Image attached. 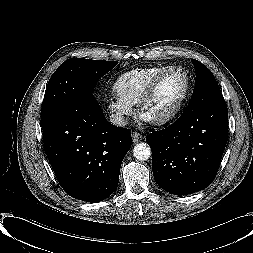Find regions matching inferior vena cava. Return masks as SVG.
Segmentation results:
<instances>
[{"mask_svg": "<svg viewBox=\"0 0 253 253\" xmlns=\"http://www.w3.org/2000/svg\"><path fill=\"white\" fill-rule=\"evenodd\" d=\"M110 122L113 125L119 126V127H123L126 126L128 123L127 118H125L124 116L120 115V114H112L110 116Z\"/></svg>", "mask_w": 253, "mask_h": 253, "instance_id": "602c4592", "label": "inferior vena cava"}]
</instances>
